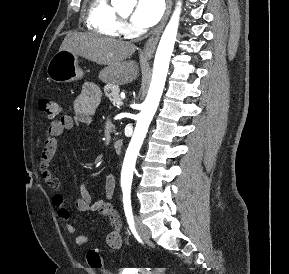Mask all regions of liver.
Masks as SVG:
<instances>
[{"label":"liver","mask_w":289,"mask_h":274,"mask_svg":"<svg viewBox=\"0 0 289 274\" xmlns=\"http://www.w3.org/2000/svg\"><path fill=\"white\" fill-rule=\"evenodd\" d=\"M60 50H68L92 62L105 65L99 75L103 82L124 85L138 76L136 62L126 61L136 50L134 44L99 37L93 33L70 32L64 38Z\"/></svg>","instance_id":"obj_1"}]
</instances>
